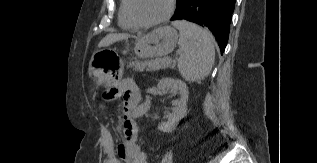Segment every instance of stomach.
Here are the masks:
<instances>
[{
    "label": "stomach",
    "instance_id": "1",
    "mask_svg": "<svg viewBox=\"0 0 317 163\" xmlns=\"http://www.w3.org/2000/svg\"><path fill=\"white\" fill-rule=\"evenodd\" d=\"M178 41V33L171 26H162L139 38L134 47L140 58L162 57L173 51ZM105 50L95 52L89 63V75L97 86L111 84L122 75V67H111L103 61Z\"/></svg>",
    "mask_w": 317,
    "mask_h": 163
}]
</instances>
